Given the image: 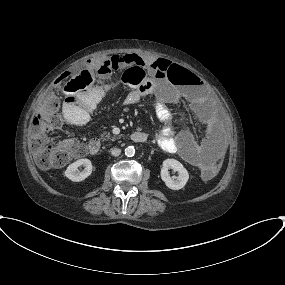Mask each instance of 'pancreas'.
<instances>
[{
	"label": "pancreas",
	"instance_id": "1",
	"mask_svg": "<svg viewBox=\"0 0 285 285\" xmlns=\"http://www.w3.org/2000/svg\"><path fill=\"white\" fill-rule=\"evenodd\" d=\"M101 137H104V135H101ZM105 138L109 139L110 138V134L108 133Z\"/></svg>",
	"mask_w": 285,
	"mask_h": 285
}]
</instances>
